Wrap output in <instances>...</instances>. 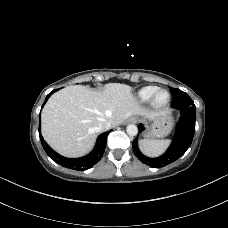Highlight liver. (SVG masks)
<instances>
[{
    "label": "liver",
    "instance_id": "liver-1",
    "mask_svg": "<svg viewBox=\"0 0 228 228\" xmlns=\"http://www.w3.org/2000/svg\"><path fill=\"white\" fill-rule=\"evenodd\" d=\"M166 113L142 108L126 84L108 83L98 92L72 85L47 101L41 115L42 135L60 154L80 157L93 148L100 123L117 126L133 115L154 119Z\"/></svg>",
    "mask_w": 228,
    "mask_h": 228
}]
</instances>
